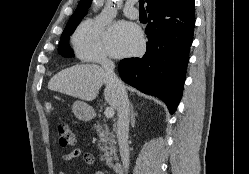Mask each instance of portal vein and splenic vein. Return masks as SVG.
Instances as JSON below:
<instances>
[{
  "instance_id": "1",
  "label": "portal vein and splenic vein",
  "mask_w": 249,
  "mask_h": 174,
  "mask_svg": "<svg viewBox=\"0 0 249 174\" xmlns=\"http://www.w3.org/2000/svg\"><path fill=\"white\" fill-rule=\"evenodd\" d=\"M104 114L106 118H112L114 116V109L112 107H107Z\"/></svg>"
}]
</instances>
